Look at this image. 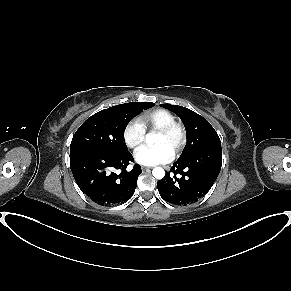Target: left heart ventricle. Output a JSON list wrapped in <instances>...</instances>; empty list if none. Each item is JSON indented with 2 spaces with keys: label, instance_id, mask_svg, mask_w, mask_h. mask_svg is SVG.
I'll use <instances>...</instances> for the list:
<instances>
[{
  "label": "left heart ventricle",
  "instance_id": "1",
  "mask_svg": "<svg viewBox=\"0 0 291 291\" xmlns=\"http://www.w3.org/2000/svg\"><path fill=\"white\" fill-rule=\"evenodd\" d=\"M154 143H155V145L163 144V145H166L172 149L171 139H169L168 137L164 136L161 133H157Z\"/></svg>",
  "mask_w": 291,
  "mask_h": 291
}]
</instances>
